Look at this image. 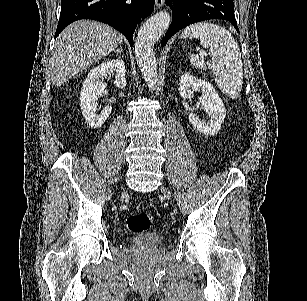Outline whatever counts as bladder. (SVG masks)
<instances>
[{"mask_svg": "<svg viewBox=\"0 0 307 301\" xmlns=\"http://www.w3.org/2000/svg\"><path fill=\"white\" fill-rule=\"evenodd\" d=\"M164 234L160 232H149L136 235L134 238H128L127 241L139 245H159L164 243Z\"/></svg>", "mask_w": 307, "mask_h": 301, "instance_id": "1", "label": "bladder"}]
</instances>
